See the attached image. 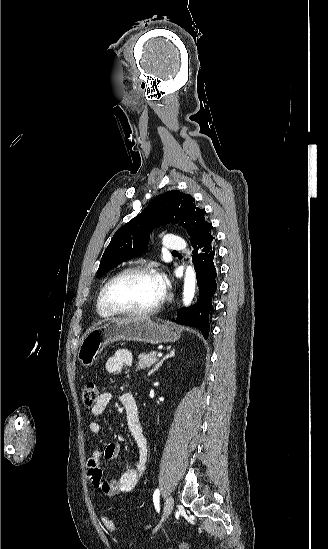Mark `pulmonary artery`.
Wrapping results in <instances>:
<instances>
[{"label":"pulmonary artery","mask_w":328,"mask_h":549,"mask_svg":"<svg viewBox=\"0 0 328 549\" xmlns=\"http://www.w3.org/2000/svg\"><path fill=\"white\" fill-rule=\"evenodd\" d=\"M161 248L166 252H182L184 244L182 241H177L175 237H166Z\"/></svg>","instance_id":"e3ab8cb5"}]
</instances>
